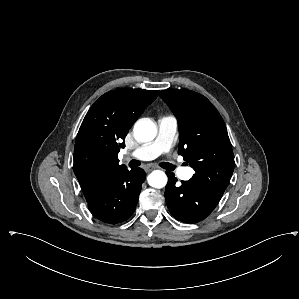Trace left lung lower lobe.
<instances>
[{"label":"left lung lower lobe","instance_id":"obj_1","mask_svg":"<svg viewBox=\"0 0 299 299\" xmlns=\"http://www.w3.org/2000/svg\"><path fill=\"white\" fill-rule=\"evenodd\" d=\"M168 183L165 199L172 216L185 223H196L205 219L217 206L222 195L208 186L192 179L176 184L172 172H166Z\"/></svg>","mask_w":299,"mask_h":299}]
</instances>
